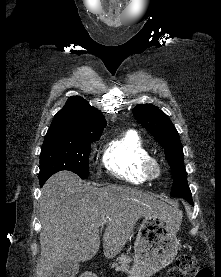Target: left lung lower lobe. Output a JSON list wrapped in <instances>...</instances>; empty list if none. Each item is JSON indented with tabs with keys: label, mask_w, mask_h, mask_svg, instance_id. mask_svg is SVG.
<instances>
[{
	"label": "left lung lower lobe",
	"mask_w": 221,
	"mask_h": 277,
	"mask_svg": "<svg viewBox=\"0 0 221 277\" xmlns=\"http://www.w3.org/2000/svg\"><path fill=\"white\" fill-rule=\"evenodd\" d=\"M184 199H186L189 203L193 204V201H192V197H191V196H188V197H186V198H184Z\"/></svg>",
	"instance_id": "left-lung-lower-lobe-1"
}]
</instances>
